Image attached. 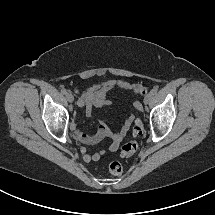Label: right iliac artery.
<instances>
[{"instance_id": "1", "label": "right iliac artery", "mask_w": 215, "mask_h": 215, "mask_svg": "<svg viewBox=\"0 0 215 215\" xmlns=\"http://www.w3.org/2000/svg\"><path fill=\"white\" fill-rule=\"evenodd\" d=\"M61 92L64 94V95H66V94H68V92H67V90L66 89H61Z\"/></svg>"}]
</instances>
